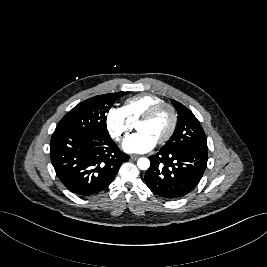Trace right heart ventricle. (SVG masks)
Listing matches in <instances>:
<instances>
[{
	"instance_id": "1",
	"label": "right heart ventricle",
	"mask_w": 267,
	"mask_h": 267,
	"mask_svg": "<svg viewBox=\"0 0 267 267\" xmlns=\"http://www.w3.org/2000/svg\"><path fill=\"white\" fill-rule=\"evenodd\" d=\"M160 102H163L162 99L156 95L140 94L127 99L123 109L132 122L135 123L149 108Z\"/></svg>"
}]
</instances>
